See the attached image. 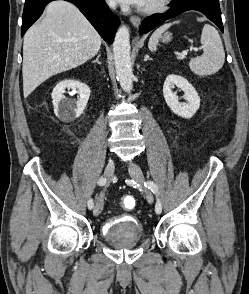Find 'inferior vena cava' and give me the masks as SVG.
<instances>
[{
    "mask_svg": "<svg viewBox=\"0 0 249 294\" xmlns=\"http://www.w3.org/2000/svg\"><path fill=\"white\" fill-rule=\"evenodd\" d=\"M108 5L111 7V8H115V6H116V3H115V1L114 0H108Z\"/></svg>",
    "mask_w": 249,
    "mask_h": 294,
    "instance_id": "inferior-vena-cava-1",
    "label": "inferior vena cava"
}]
</instances>
